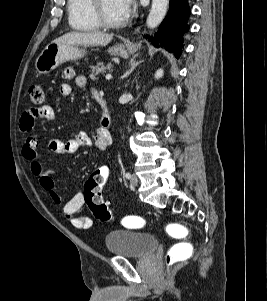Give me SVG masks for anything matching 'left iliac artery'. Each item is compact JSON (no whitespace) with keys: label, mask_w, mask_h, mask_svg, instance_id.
Returning <instances> with one entry per match:
<instances>
[{"label":"left iliac artery","mask_w":267,"mask_h":301,"mask_svg":"<svg viewBox=\"0 0 267 301\" xmlns=\"http://www.w3.org/2000/svg\"><path fill=\"white\" fill-rule=\"evenodd\" d=\"M125 177H126L127 179H130V177H131L130 173L127 172V173L125 174Z\"/></svg>","instance_id":"obj_1"}]
</instances>
